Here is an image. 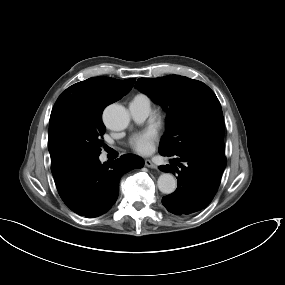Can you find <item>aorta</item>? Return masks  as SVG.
<instances>
[{
  "label": "aorta",
  "instance_id": "obj_1",
  "mask_svg": "<svg viewBox=\"0 0 285 285\" xmlns=\"http://www.w3.org/2000/svg\"><path fill=\"white\" fill-rule=\"evenodd\" d=\"M105 124L112 130L125 129L130 121L129 113L119 104L109 105L103 114ZM158 189L164 194H171L177 188V181L170 173H163L159 176L157 181Z\"/></svg>",
  "mask_w": 285,
  "mask_h": 285
}]
</instances>
